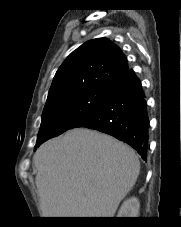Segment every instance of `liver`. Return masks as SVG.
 Here are the masks:
<instances>
[{
    "label": "liver",
    "instance_id": "obj_1",
    "mask_svg": "<svg viewBox=\"0 0 181 227\" xmlns=\"http://www.w3.org/2000/svg\"><path fill=\"white\" fill-rule=\"evenodd\" d=\"M34 163L44 217H113L140 172L131 147L86 128L43 143Z\"/></svg>",
    "mask_w": 181,
    "mask_h": 227
}]
</instances>
